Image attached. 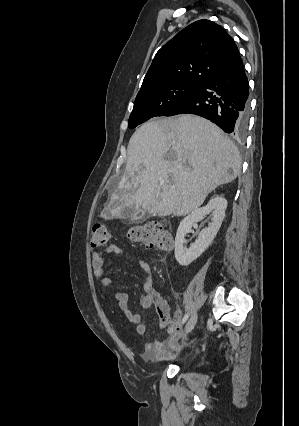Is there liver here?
I'll return each instance as SVG.
<instances>
[{
	"mask_svg": "<svg viewBox=\"0 0 299 426\" xmlns=\"http://www.w3.org/2000/svg\"><path fill=\"white\" fill-rule=\"evenodd\" d=\"M127 153L125 173L101 212L104 219L122 218L126 207H142L151 216H185L241 170L234 143L215 124L189 114L143 124Z\"/></svg>",
	"mask_w": 299,
	"mask_h": 426,
	"instance_id": "obj_1",
	"label": "liver"
}]
</instances>
